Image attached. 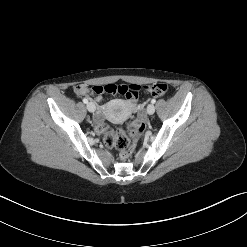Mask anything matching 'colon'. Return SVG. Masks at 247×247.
Here are the masks:
<instances>
[{"label": "colon", "mask_w": 247, "mask_h": 247, "mask_svg": "<svg viewBox=\"0 0 247 247\" xmlns=\"http://www.w3.org/2000/svg\"><path fill=\"white\" fill-rule=\"evenodd\" d=\"M150 93L154 97L164 96L168 92V86L164 83H155L140 87L138 85L108 84L104 86H95L92 92L95 95L101 93L123 95L132 105H138V94L140 90ZM103 134V142L106 147L118 150L123 158H128L134 150L136 143L141 139L145 130V124L142 120L131 121L125 129L116 132L103 124L100 127Z\"/></svg>", "instance_id": "1"}]
</instances>
